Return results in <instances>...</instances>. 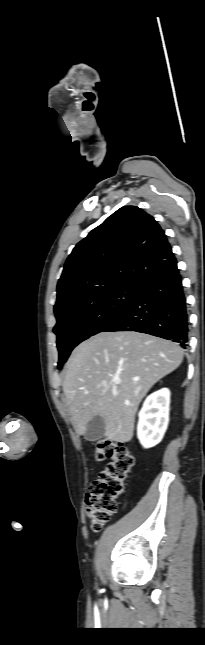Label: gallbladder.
I'll return each mask as SVG.
<instances>
[{
	"instance_id": "obj_1",
	"label": "gallbladder",
	"mask_w": 205,
	"mask_h": 645,
	"mask_svg": "<svg viewBox=\"0 0 205 645\" xmlns=\"http://www.w3.org/2000/svg\"><path fill=\"white\" fill-rule=\"evenodd\" d=\"M105 422L100 416L94 417L86 426L84 438L87 441H96L104 436Z\"/></svg>"
}]
</instances>
